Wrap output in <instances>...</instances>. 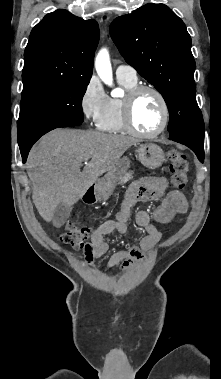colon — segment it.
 <instances>
[{"mask_svg": "<svg viewBox=\"0 0 221 379\" xmlns=\"http://www.w3.org/2000/svg\"><path fill=\"white\" fill-rule=\"evenodd\" d=\"M171 186L175 189H182L188 182L189 162L186 155L178 150H172L169 153ZM89 229L77 224H69L65 231L61 234L60 240L64 244L71 245L76 248H87V239Z\"/></svg>", "mask_w": 221, "mask_h": 379, "instance_id": "5ec220e1", "label": "colon"}]
</instances>
